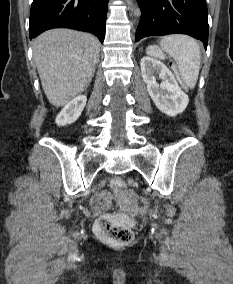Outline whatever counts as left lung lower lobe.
<instances>
[{"label": "left lung lower lobe", "mask_w": 233, "mask_h": 284, "mask_svg": "<svg viewBox=\"0 0 233 284\" xmlns=\"http://www.w3.org/2000/svg\"><path fill=\"white\" fill-rule=\"evenodd\" d=\"M141 19L136 41L146 36L182 33L208 41L206 0H137Z\"/></svg>", "instance_id": "1"}]
</instances>
